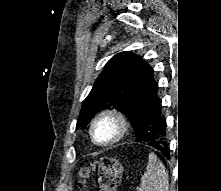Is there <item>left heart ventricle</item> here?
<instances>
[{"label": "left heart ventricle", "instance_id": "b2bd125f", "mask_svg": "<svg viewBox=\"0 0 221 191\" xmlns=\"http://www.w3.org/2000/svg\"><path fill=\"white\" fill-rule=\"evenodd\" d=\"M116 132L115 124L110 120L102 121L95 128V138L99 142L109 140Z\"/></svg>", "mask_w": 221, "mask_h": 191}]
</instances>
